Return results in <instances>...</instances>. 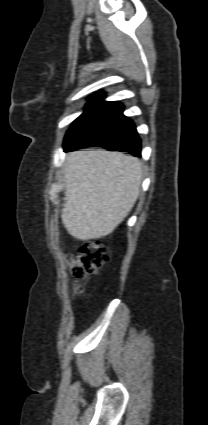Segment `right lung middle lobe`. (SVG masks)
I'll list each match as a JSON object with an SVG mask.
<instances>
[{"label": "right lung middle lobe", "mask_w": 208, "mask_h": 425, "mask_svg": "<svg viewBox=\"0 0 208 425\" xmlns=\"http://www.w3.org/2000/svg\"><path fill=\"white\" fill-rule=\"evenodd\" d=\"M89 98H90V101H89V103H90V102H92L93 100H95V99L97 98V96H95V97L90 96Z\"/></svg>", "instance_id": "1"}]
</instances>
